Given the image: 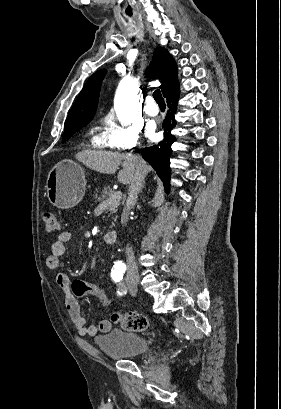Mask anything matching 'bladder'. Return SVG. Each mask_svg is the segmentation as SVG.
Returning a JSON list of instances; mask_svg holds the SVG:
<instances>
[{
	"label": "bladder",
	"mask_w": 281,
	"mask_h": 409,
	"mask_svg": "<svg viewBox=\"0 0 281 409\" xmlns=\"http://www.w3.org/2000/svg\"><path fill=\"white\" fill-rule=\"evenodd\" d=\"M93 341L103 355L115 360L143 357L152 351L149 339L132 330L109 328Z\"/></svg>",
	"instance_id": "31cf9c89"
}]
</instances>
